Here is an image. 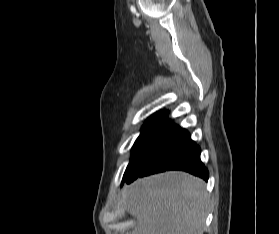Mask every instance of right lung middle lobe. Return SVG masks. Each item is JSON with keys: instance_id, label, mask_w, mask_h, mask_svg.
Returning a JSON list of instances; mask_svg holds the SVG:
<instances>
[{"instance_id": "right-lung-middle-lobe-1", "label": "right lung middle lobe", "mask_w": 279, "mask_h": 234, "mask_svg": "<svg viewBox=\"0 0 279 234\" xmlns=\"http://www.w3.org/2000/svg\"><path fill=\"white\" fill-rule=\"evenodd\" d=\"M167 117V111L158 112L154 115H152L144 124L142 128V132L138 139L136 140L133 149H132V156L130 159V163L124 173L123 181L125 177L127 176L134 160L136 159L137 155L140 153L144 145L147 143V141L150 139L152 134L155 132V130L159 127V125L165 120Z\"/></svg>"}]
</instances>
